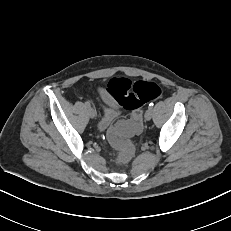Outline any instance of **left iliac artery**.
Segmentation results:
<instances>
[{
    "label": "left iliac artery",
    "mask_w": 231,
    "mask_h": 231,
    "mask_svg": "<svg viewBox=\"0 0 231 231\" xmlns=\"http://www.w3.org/2000/svg\"><path fill=\"white\" fill-rule=\"evenodd\" d=\"M153 106H154V103H153V102H151V103L149 104V109H152V108H153Z\"/></svg>",
    "instance_id": "1"
}]
</instances>
